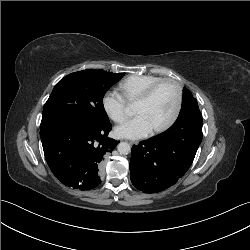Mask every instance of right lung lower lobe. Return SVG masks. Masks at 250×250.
<instances>
[{
  "label": "right lung lower lobe",
  "instance_id": "right-lung-lower-lobe-1",
  "mask_svg": "<svg viewBox=\"0 0 250 250\" xmlns=\"http://www.w3.org/2000/svg\"><path fill=\"white\" fill-rule=\"evenodd\" d=\"M111 123L99 126L55 122L40 128L44 155L53 174L64 185L89 190L100 184V169L118 141L107 137Z\"/></svg>",
  "mask_w": 250,
  "mask_h": 250
}]
</instances>
